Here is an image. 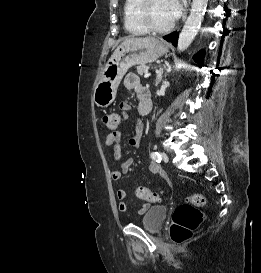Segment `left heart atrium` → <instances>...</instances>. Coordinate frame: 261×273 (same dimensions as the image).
Listing matches in <instances>:
<instances>
[{"label":"left heart atrium","instance_id":"left-heart-atrium-1","mask_svg":"<svg viewBox=\"0 0 261 273\" xmlns=\"http://www.w3.org/2000/svg\"><path fill=\"white\" fill-rule=\"evenodd\" d=\"M174 20L177 19L183 9V0H169Z\"/></svg>","mask_w":261,"mask_h":273}]
</instances>
